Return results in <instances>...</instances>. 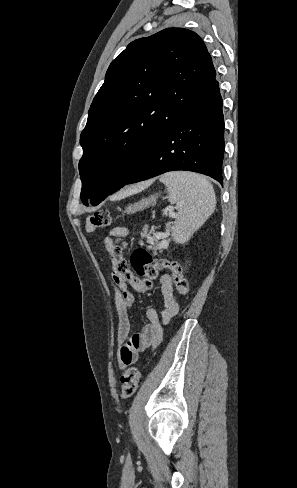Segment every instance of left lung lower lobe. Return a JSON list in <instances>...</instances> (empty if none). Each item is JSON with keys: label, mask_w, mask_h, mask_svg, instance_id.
<instances>
[{"label": "left lung lower lobe", "mask_w": 297, "mask_h": 488, "mask_svg": "<svg viewBox=\"0 0 297 488\" xmlns=\"http://www.w3.org/2000/svg\"><path fill=\"white\" fill-rule=\"evenodd\" d=\"M218 87L189 111L158 143L126 184L168 171L208 175L223 185L224 119Z\"/></svg>", "instance_id": "0a47b994"}]
</instances>
